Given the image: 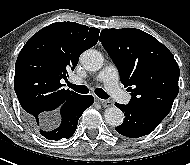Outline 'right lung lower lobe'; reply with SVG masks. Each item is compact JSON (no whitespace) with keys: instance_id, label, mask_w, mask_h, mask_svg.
Instances as JSON below:
<instances>
[{"instance_id":"1","label":"right lung lower lobe","mask_w":190,"mask_h":165,"mask_svg":"<svg viewBox=\"0 0 190 165\" xmlns=\"http://www.w3.org/2000/svg\"><path fill=\"white\" fill-rule=\"evenodd\" d=\"M93 102L92 95H79L43 119L36 120L26 114L25 119L37 133L49 140L68 139L74 134L78 119L84 110L90 107Z\"/></svg>"}]
</instances>
